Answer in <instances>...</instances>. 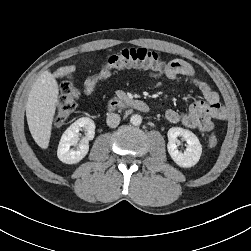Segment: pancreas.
Returning a JSON list of instances; mask_svg holds the SVG:
<instances>
[{
	"mask_svg": "<svg viewBox=\"0 0 251 251\" xmlns=\"http://www.w3.org/2000/svg\"><path fill=\"white\" fill-rule=\"evenodd\" d=\"M116 95H117V97L120 98V99H126V98H127L125 92H123L122 90L116 91Z\"/></svg>",
	"mask_w": 251,
	"mask_h": 251,
	"instance_id": "obj_1",
	"label": "pancreas"
}]
</instances>
